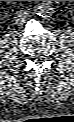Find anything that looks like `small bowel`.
<instances>
[{"label":"small bowel","instance_id":"small-bowel-1","mask_svg":"<svg viewBox=\"0 0 74 122\" xmlns=\"http://www.w3.org/2000/svg\"><path fill=\"white\" fill-rule=\"evenodd\" d=\"M51 4H52V1H47L45 5L40 7V10L50 11L52 9Z\"/></svg>","mask_w":74,"mask_h":122}]
</instances>
